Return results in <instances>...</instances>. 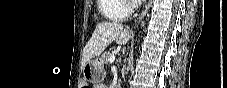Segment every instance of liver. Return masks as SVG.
<instances>
[{"mask_svg":"<svg viewBox=\"0 0 227 88\" xmlns=\"http://www.w3.org/2000/svg\"><path fill=\"white\" fill-rule=\"evenodd\" d=\"M130 37L129 30L124 29L121 23L108 21L98 23L83 50V65L93 57H98L113 41H116L118 45H125L130 40Z\"/></svg>","mask_w":227,"mask_h":88,"instance_id":"obj_1","label":"liver"}]
</instances>
